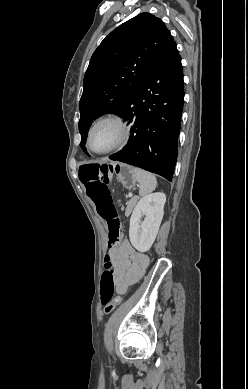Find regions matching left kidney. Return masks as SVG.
Returning a JSON list of instances; mask_svg holds the SVG:
<instances>
[{
	"instance_id": "obj_1",
	"label": "left kidney",
	"mask_w": 248,
	"mask_h": 389,
	"mask_svg": "<svg viewBox=\"0 0 248 389\" xmlns=\"http://www.w3.org/2000/svg\"><path fill=\"white\" fill-rule=\"evenodd\" d=\"M166 196L157 192L139 200L130 218L129 238L139 252L148 251L154 243L164 214ZM144 220L141 222V218Z\"/></svg>"
}]
</instances>
